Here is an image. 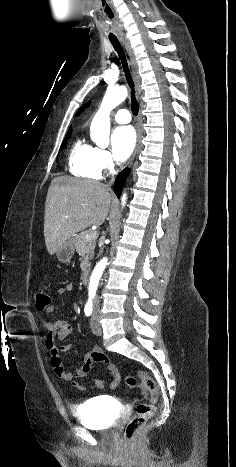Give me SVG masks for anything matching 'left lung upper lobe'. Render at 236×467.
I'll return each instance as SVG.
<instances>
[{"mask_svg":"<svg viewBox=\"0 0 236 467\" xmlns=\"http://www.w3.org/2000/svg\"><path fill=\"white\" fill-rule=\"evenodd\" d=\"M89 104H90V103H87L86 106H88ZM86 106L81 107V108L79 109L77 115H79L80 113H82V112L85 110V107H86Z\"/></svg>","mask_w":236,"mask_h":467,"instance_id":"5c2ea615","label":"left lung upper lobe"}]
</instances>
